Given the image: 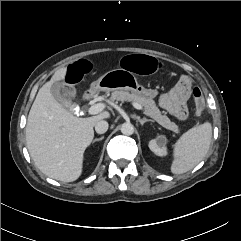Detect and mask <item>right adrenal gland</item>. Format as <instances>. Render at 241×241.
<instances>
[{
	"label": "right adrenal gland",
	"mask_w": 241,
	"mask_h": 241,
	"mask_svg": "<svg viewBox=\"0 0 241 241\" xmlns=\"http://www.w3.org/2000/svg\"><path fill=\"white\" fill-rule=\"evenodd\" d=\"M103 138H104L103 136L101 138H96V139L93 140V142L101 141V140H103Z\"/></svg>",
	"instance_id": "obj_1"
}]
</instances>
